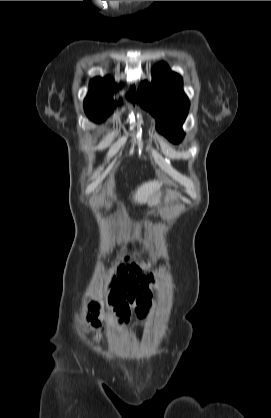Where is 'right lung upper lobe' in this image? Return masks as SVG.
Listing matches in <instances>:
<instances>
[{
    "mask_svg": "<svg viewBox=\"0 0 271 418\" xmlns=\"http://www.w3.org/2000/svg\"><path fill=\"white\" fill-rule=\"evenodd\" d=\"M115 90L116 85L110 77L92 80L89 94L84 101L85 112L94 115H109L114 107L112 95ZM133 100L135 101V92Z\"/></svg>",
    "mask_w": 271,
    "mask_h": 418,
    "instance_id": "obj_1",
    "label": "right lung upper lobe"
}]
</instances>
